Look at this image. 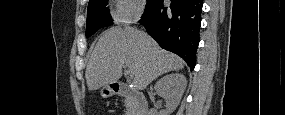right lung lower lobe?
I'll return each instance as SVG.
<instances>
[{"label":"right lung lower lobe","instance_id":"1","mask_svg":"<svg viewBox=\"0 0 285 115\" xmlns=\"http://www.w3.org/2000/svg\"><path fill=\"white\" fill-rule=\"evenodd\" d=\"M170 1L171 5L165 6L164 0H152L146 6L140 22L162 48L178 54L193 70L199 44L203 1Z\"/></svg>","mask_w":285,"mask_h":115}]
</instances>
